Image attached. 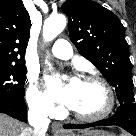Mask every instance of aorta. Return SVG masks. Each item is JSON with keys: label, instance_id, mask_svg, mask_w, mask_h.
Wrapping results in <instances>:
<instances>
[{"label": "aorta", "instance_id": "1", "mask_svg": "<svg viewBox=\"0 0 136 136\" xmlns=\"http://www.w3.org/2000/svg\"><path fill=\"white\" fill-rule=\"evenodd\" d=\"M66 23V17L62 14L51 15L47 18L42 30L44 40L48 42L56 38L64 30Z\"/></svg>", "mask_w": 136, "mask_h": 136}]
</instances>
